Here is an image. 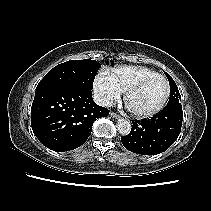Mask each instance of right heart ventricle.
<instances>
[{"mask_svg":"<svg viewBox=\"0 0 211 211\" xmlns=\"http://www.w3.org/2000/svg\"><path fill=\"white\" fill-rule=\"evenodd\" d=\"M110 73L121 92H125L129 87L145 77L159 74L155 70L144 66H121L112 69Z\"/></svg>","mask_w":211,"mask_h":211,"instance_id":"right-heart-ventricle-1","label":"right heart ventricle"}]
</instances>
